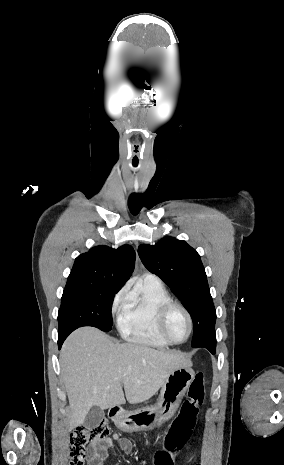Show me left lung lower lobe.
<instances>
[{"mask_svg": "<svg viewBox=\"0 0 284 465\" xmlns=\"http://www.w3.org/2000/svg\"><path fill=\"white\" fill-rule=\"evenodd\" d=\"M212 349V354H215V350H216V346L214 348H211Z\"/></svg>", "mask_w": 284, "mask_h": 465, "instance_id": "0a47b994", "label": "left lung lower lobe"}]
</instances>
